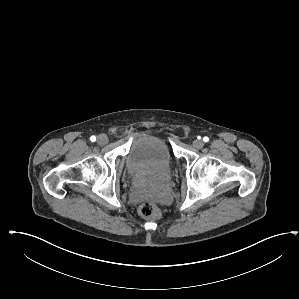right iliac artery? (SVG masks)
<instances>
[{
  "label": "right iliac artery",
  "mask_w": 299,
  "mask_h": 299,
  "mask_svg": "<svg viewBox=\"0 0 299 299\" xmlns=\"http://www.w3.org/2000/svg\"><path fill=\"white\" fill-rule=\"evenodd\" d=\"M90 140H91L92 142H95V141H96V137H95V136H91V137H90Z\"/></svg>",
  "instance_id": "obj_1"
}]
</instances>
